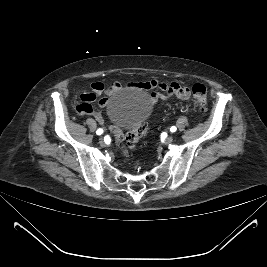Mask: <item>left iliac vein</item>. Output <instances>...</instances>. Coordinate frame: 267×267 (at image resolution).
Listing matches in <instances>:
<instances>
[{
    "instance_id": "1",
    "label": "left iliac vein",
    "mask_w": 267,
    "mask_h": 267,
    "mask_svg": "<svg viewBox=\"0 0 267 267\" xmlns=\"http://www.w3.org/2000/svg\"><path fill=\"white\" fill-rule=\"evenodd\" d=\"M173 136H168L166 139H165V141H164V143L165 144H171L172 142H173Z\"/></svg>"
}]
</instances>
